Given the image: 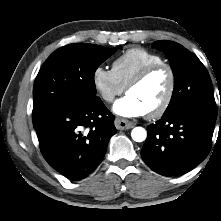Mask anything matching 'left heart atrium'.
Returning <instances> with one entry per match:
<instances>
[{"label":"left heart atrium","instance_id":"39dd6f15","mask_svg":"<svg viewBox=\"0 0 221 221\" xmlns=\"http://www.w3.org/2000/svg\"><path fill=\"white\" fill-rule=\"evenodd\" d=\"M116 114L123 117H139L147 114L143 104L134 96L127 94L123 98L117 100L113 106Z\"/></svg>","mask_w":221,"mask_h":221}]
</instances>
